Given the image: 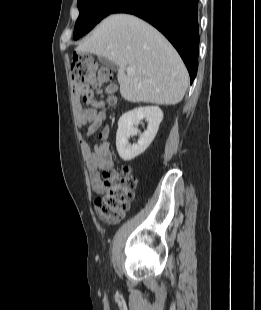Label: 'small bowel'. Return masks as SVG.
<instances>
[{"label": "small bowel", "instance_id": "c3829d8e", "mask_svg": "<svg viewBox=\"0 0 261 310\" xmlns=\"http://www.w3.org/2000/svg\"><path fill=\"white\" fill-rule=\"evenodd\" d=\"M74 94L77 99H82L84 103L89 104V108L78 105L76 108V119L80 127L88 126L81 133V147L86 161L89 180L92 190L97 194L105 192V186L101 179V171H108L113 168V159L111 154V144L108 141L110 136V127H104L98 134L101 142L90 147L85 137L93 134L102 125L105 119L103 103L99 101L92 89L87 85H76Z\"/></svg>", "mask_w": 261, "mask_h": 310}]
</instances>
